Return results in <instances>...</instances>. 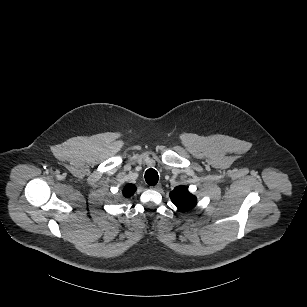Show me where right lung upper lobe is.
<instances>
[{
	"instance_id": "1",
	"label": "right lung upper lobe",
	"mask_w": 307,
	"mask_h": 307,
	"mask_svg": "<svg viewBox=\"0 0 307 307\" xmlns=\"http://www.w3.org/2000/svg\"><path fill=\"white\" fill-rule=\"evenodd\" d=\"M136 191V187L133 184H127L123 189V195L125 197H130Z\"/></svg>"
}]
</instances>
